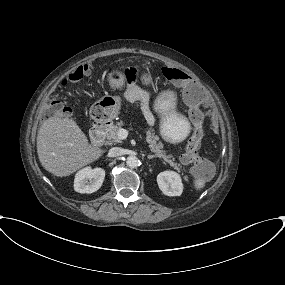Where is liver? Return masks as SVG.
<instances>
[{"instance_id":"obj_1","label":"liver","mask_w":285,"mask_h":285,"mask_svg":"<svg viewBox=\"0 0 285 285\" xmlns=\"http://www.w3.org/2000/svg\"><path fill=\"white\" fill-rule=\"evenodd\" d=\"M38 158L45 170L66 177L98 160L104 150L91 145L77 123L65 117H50L37 135Z\"/></svg>"}]
</instances>
